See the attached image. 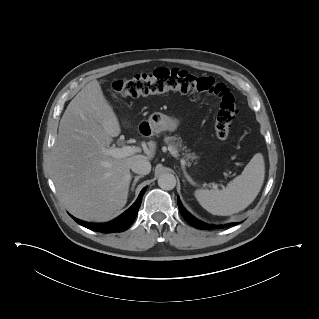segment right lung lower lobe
<instances>
[{"label": "right lung lower lobe", "instance_id": "right-lung-lower-lobe-1", "mask_svg": "<svg viewBox=\"0 0 319 319\" xmlns=\"http://www.w3.org/2000/svg\"><path fill=\"white\" fill-rule=\"evenodd\" d=\"M146 190V187L140 192L139 197L135 201V203L126 210L122 215L118 218L114 219L111 222L103 223V224H96V223H87L80 221L73 216H71L78 224L91 229L93 231H98L102 233H112V232H123L130 227V225L134 222L136 215L138 213L142 196Z\"/></svg>", "mask_w": 319, "mask_h": 319}]
</instances>
